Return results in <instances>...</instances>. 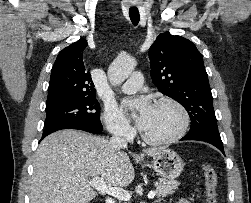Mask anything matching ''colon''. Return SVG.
<instances>
[{"label":"colon","mask_w":251,"mask_h":203,"mask_svg":"<svg viewBox=\"0 0 251 203\" xmlns=\"http://www.w3.org/2000/svg\"><path fill=\"white\" fill-rule=\"evenodd\" d=\"M202 173L205 183L206 203H218L217 185L218 174L214 166L209 162L202 164Z\"/></svg>","instance_id":"obj_1"}]
</instances>
